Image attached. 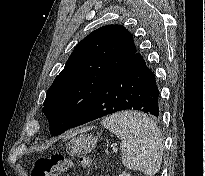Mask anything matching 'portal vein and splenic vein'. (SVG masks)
Segmentation results:
<instances>
[{
    "instance_id": "portal-vein-and-splenic-vein-1",
    "label": "portal vein and splenic vein",
    "mask_w": 205,
    "mask_h": 176,
    "mask_svg": "<svg viewBox=\"0 0 205 176\" xmlns=\"http://www.w3.org/2000/svg\"><path fill=\"white\" fill-rule=\"evenodd\" d=\"M112 150H113V152H117L118 151V149L116 147H113Z\"/></svg>"
}]
</instances>
